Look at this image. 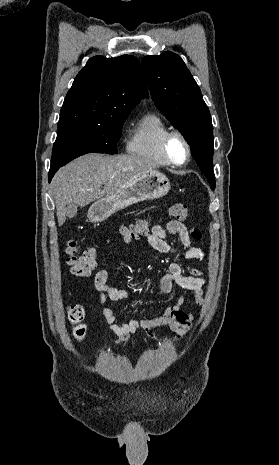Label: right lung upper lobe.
Listing matches in <instances>:
<instances>
[{"label": "right lung upper lobe", "instance_id": "cb5924a9", "mask_svg": "<svg viewBox=\"0 0 279 465\" xmlns=\"http://www.w3.org/2000/svg\"><path fill=\"white\" fill-rule=\"evenodd\" d=\"M148 96L140 62L134 56H95L74 79L60 112L58 127L101 123L116 110H132Z\"/></svg>", "mask_w": 279, "mask_h": 465}]
</instances>
